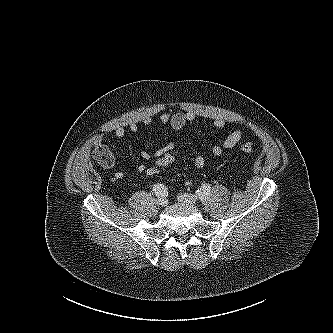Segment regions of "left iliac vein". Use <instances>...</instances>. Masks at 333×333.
Instances as JSON below:
<instances>
[{"mask_svg":"<svg viewBox=\"0 0 333 333\" xmlns=\"http://www.w3.org/2000/svg\"><path fill=\"white\" fill-rule=\"evenodd\" d=\"M197 200V197L192 194L183 193L178 195V201L184 204L195 205Z\"/></svg>","mask_w":333,"mask_h":333,"instance_id":"obj_1","label":"left iliac vein"}]
</instances>
